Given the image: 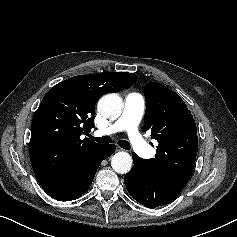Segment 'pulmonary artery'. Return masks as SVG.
<instances>
[{
	"label": "pulmonary artery",
	"mask_w": 237,
	"mask_h": 237,
	"mask_svg": "<svg viewBox=\"0 0 237 237\" xmlns=\"http://www.w3.org/2000/svg\"><path fill=\"white\" fill-rule=\"evenodd\" d=\"M145 110V101L141 94L132 92L124 101L121 117L113 124L98 129L95 134L110 135L118 131H126L131 140L134 151L142 157H151L154 152L138 132V125L142 120Z\"/></svg>",
	"instance_id": "1"
}]
</instances>
